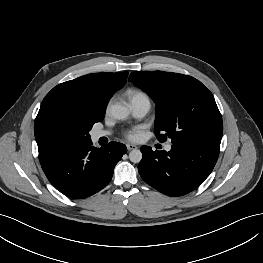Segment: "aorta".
Here are the masks:
<instances>
[{"instance_id":"obj_1","label":"aorta","mask_w":263,"mask_h":263,"mask_svg":"<svg viewBox=\"0 0 263 263\" xmlns=\"http://www.w3.org/2000/svg\"><path fill=\"white\" fill-rule=\"evenodd\" d=\"M111 115L115 119L123 120L128 117L129 109L125 105L122 104H114L110 108ZM129 159L133 163H139L142 159V153L138 149H133L129 153Z\"/></svg>"}]
</instances>
